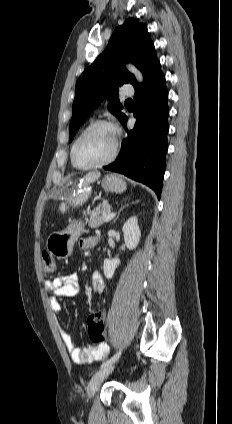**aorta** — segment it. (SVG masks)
Instances as JSON below:
<instances>
[{"label":"aorta","instance_id":"obj_1","mask_svg":"<svg viewBox=\"0 0 232 424\" xmlns=\"http://www.w3.org/2000/svg\"><path fill=\"white\" fill-rule=\"evenodd\" d=\"M126 67L131 73H133L135 75L136 79L139 82L143 81V76H142L141 72L135 66L129 64Z\"/></svg>","mask_w":232,"mask_h":424}]
</instances>
